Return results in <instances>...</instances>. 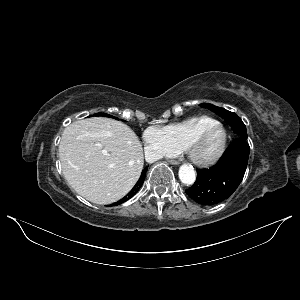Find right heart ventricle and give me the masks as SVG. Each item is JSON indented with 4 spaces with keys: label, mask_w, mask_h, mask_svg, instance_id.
<instances>
[{
    "label": "right heart ventricle",
    "mask_w": 300,
    "mask_h": 300,
    "mask_svg": "<svg viewBox=\"0 0 300 300\" xmlns=\"http://www.w3.org/2000/svg\"><path fill=\"white\" fill-rule=\"evenodd\" d=\"M217 122L209 116H194L162 127L168 140L177 151L186 150L190 140L203 129Z\"/></svg>",
    "instance_id": "right-heart-ventricle-1"
}]
</instances>
